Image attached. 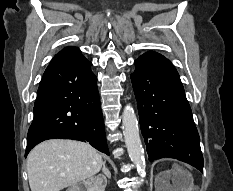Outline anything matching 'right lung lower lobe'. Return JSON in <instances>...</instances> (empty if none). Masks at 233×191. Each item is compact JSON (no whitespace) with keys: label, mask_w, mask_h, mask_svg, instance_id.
<instances>
[{"label":"right lung lower lobe","mask_w":233,"mask_h":191,"mask_svg":"<svg viewBox=\"0 0 233 191\" xmlns=\"http://www.w3.org/2000/svg\"><path fill=\"white\" fill-rule=\"evenodd\" d=\"M91 65L85 57L51 61L38 88L25 157L35 145L53 138L89 142L109 155Z\"/></svg>","instance_id":"1"}]
</instances>
